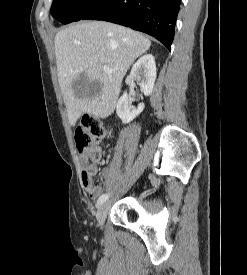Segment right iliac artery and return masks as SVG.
<instances>
[{"label": "right iliac artery", "mask_w": 247, "mask_h": 275, "mask_svg": "<svg viewBox=\"0 0 247 275\" xmlns=\"http://www.w3.org/2000/svg\"><path fill=\"white\" fill-rule=\"evenodd\" d=\"M108 198H109V194H107V193L102 194L97 200V205L99 206V205L103 204Z\"/></svg>", "instance_id": "1"}]
</instances>
